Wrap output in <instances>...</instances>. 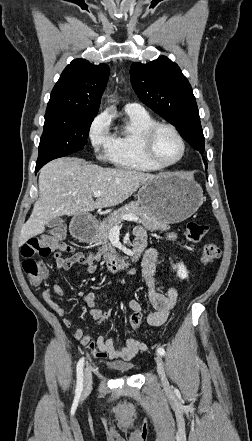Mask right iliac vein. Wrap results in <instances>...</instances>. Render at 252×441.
I'll return each instance as SVG.
<instances>
[{"label":"right iliac vein","mask_w":252,"mask_h":441,"mask_svg":"<svg viewBox=\"0 0 252 441\" xmlns=\"http://www.w3.org/2000/svg\"><path fill=\"white\" fill-rule=\"evenodd\" d=\"M91 387H92V373L89 368H86L84 373V385H83V393H82L83 397L90 393Z\"/></svg>","instance_id":"1"}]
</instances>
